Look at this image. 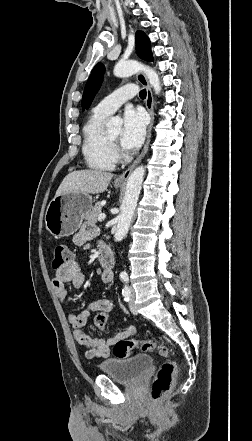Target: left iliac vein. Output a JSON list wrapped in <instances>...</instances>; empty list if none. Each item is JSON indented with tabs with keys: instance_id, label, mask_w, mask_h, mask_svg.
<instances>
[{
	"instance_id": "left-iliac-vein-1",
	"label": "left iliac vein",
	"mask_w": 252,
	"mask_h": 441,
	"mask_svg": "<svg viewBox=\"0 0 252 441\" xmlns=\"http://www.w3.org/2000/svg\"><path fill=\"white\" fill-rule=\"evenodd\" d=\"M130 302H129V308L133 314H137L136 304H135V293L132 288H130Z\"/></svg>"
}]
</instances>
